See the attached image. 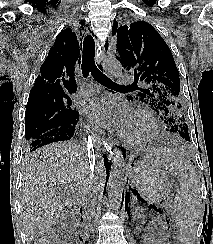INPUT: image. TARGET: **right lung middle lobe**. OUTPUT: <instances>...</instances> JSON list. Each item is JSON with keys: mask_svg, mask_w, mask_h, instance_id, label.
<instances>
[{"mask_svg": "<svg viewBox=\"0 0 213 244\" xmlns=\"http://www.w3.org/2000/svg\"><path fill=\"white\" fill-rule=\"evenodd\" d=\"M68 95H44L28 99L25 116V139L31 141L43 133L78 119Z\"/></svg>", "mask_w": 213, "mask_h": 244, "instance_id": "obj_1", "label": "right lung middle lobe"}]
</instances>
